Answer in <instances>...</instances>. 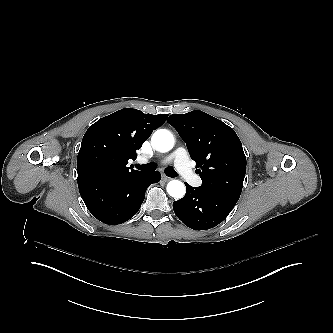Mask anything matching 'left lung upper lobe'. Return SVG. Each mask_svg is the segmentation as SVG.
I'll return each instance as SVG.
<instances>
[{"label":"left lung upper lobe","mask_w":333,"mask_h":333,"mask_svg":"<svg viewBox=\"0 0 333 333\" xmlns=\"http://www.w3.org/2000/svg\"><path fill=\"white\" fill-rule=\"evenodd\" d=\"M187 145L206 190L240 196L246 174V157L235 131L202 112L171 115L168 120Z\"/></svg>","instance_id":"obj_1"}]
</instances>
